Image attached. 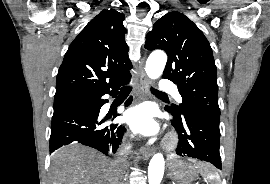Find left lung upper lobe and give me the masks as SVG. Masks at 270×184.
<instances>
[{
    "instance_id": "left-lung-upper-lobe-1",
    "label": "left lung upper lobe",
    "mask_w": 270,
    "mask_h": 184,
    "mask_svg": "<svg viewBox=\"0 0 270 184\" xmlns=\"http://www.w3.org/2000/svg\"><path fill=\"white\" fill-rule=\"evenodd\" d=\"M145 48L168 55L163 78L178 84L180 106L166 107L182 120L187 112L220 120L216 66L211 46L202 31L184 14L170 12L153 25Z\"/></svg>"
}]
</instances>
